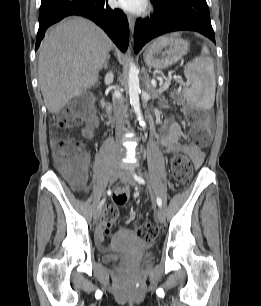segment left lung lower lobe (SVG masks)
<instances>
[{
	"label": "left lung lower lobe",
	"instance_id": "left-lung-lower-lobe-1",
	"mask_svg": "<svg viewBox=\"0 0 261 306\" xmlns=\"http://www.w3.org/2000/svg\"><path fill=\"white\" fill-rule=\"evenodd\" d=\"M155 15L150 19H137L134 30V52L151 39L165 33L197 31L215 43L206 0H151Z\"/></svg>",
	"mask_w": 261,
	"mask_h": 306
}]
</instances>
